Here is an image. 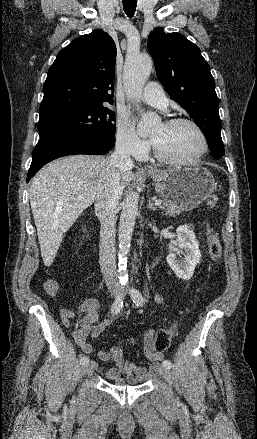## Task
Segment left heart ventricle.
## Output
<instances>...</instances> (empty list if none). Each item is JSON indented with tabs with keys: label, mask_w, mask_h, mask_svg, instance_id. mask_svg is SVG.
Instances as JSON below:
<instances>
[{
	"label": "left heart ventricle",
	"mask_w": 257,
	"mask_h": 439,
	"mask_svg": "<svg viewBox=\"0 0 257 439\" xmlns=\"http://www.w3.org/2000/svg\"><path fill=\"white\" fill-rule=\"evenodd\" d=\"M151 138L164 154L175 159H189L201 148L197 132L185 124L173 127L160 124L152 131Z\"/></svg>",
	"instance_id": "1"
}]
</instances>
